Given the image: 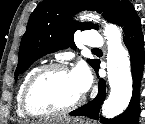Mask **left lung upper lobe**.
I'll list each match as a JSON object with an SVG mask.
<instances>
[{"label":"left lung upper lobe","instance_id":"1","mask_svg":"<svg viewBox=\"0 0 145 124\" xmlns=\"http://www.w3.org/2000/svg\"><path fill=\"white\" fill-rule=\"evenodd\" d=\"M133 6L129 0H44L32 12L19 48L15 78L40 57L71 47L76 49L77 30L98 29L91 22L79 23L71 16L82 10L102 13L111 23L118 24L124 13ZM87 62L96 69L98 60Z\"/></svg>","mask_w":145,"mask_h":124}]
</instances>
